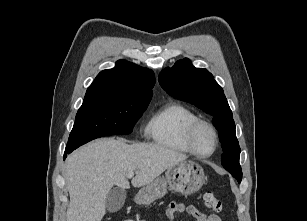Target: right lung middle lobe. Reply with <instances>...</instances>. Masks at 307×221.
<instances>
[{"label": "right lung middle lobe", "mask_w": 307, "mask_h": 221, "mask_svg": "<svg viewBox=\"0 0 307 221\" xmlns=\"http://www.w3.org/2000/svg\"><path fill=\"white\" fill-rule=\"evenodd\" d=\"M150 100L107 97L83 102L66 146L71 153L79 146L103 136L130 134Z\"/></svg>", "instance_id": "1"}]
</instances>
